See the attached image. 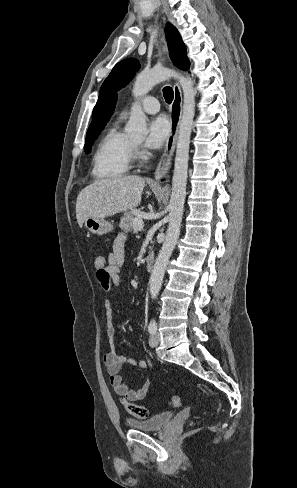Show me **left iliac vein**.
<instances>
[{
    "label": "left iliac vein",
    "mask_w": 297,
    "mask_h": 488,
    "mask_svg": "<svg viewBox=\"0 0 297 488\" xmlns=\"http://www.w3.org/2000/svg\"><path fill=\"white\" fill-rule=\"evenodd\" d=\"M159 342H160V334L158 332H155L150 337L149 344L151 347H156V346H158Z\"/></svg>",
    "instance_id": "obj_1"
}]
</instances>
